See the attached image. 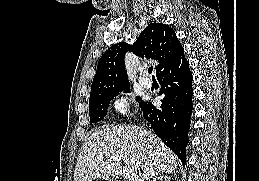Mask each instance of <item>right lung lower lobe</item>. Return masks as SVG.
<instances>
[{"mask_svg": "<svg viewBox=\"0 0 259 181\" xmlns=\"http://www.w3.org/2000/svg\"><path fill=\"white\" fill-rule=\"evenodd\" d=\"M156 76L161 84L159 95L164 94V98L160 107L145 102L141 107L143 117L150 123L155 134L185 164L193 108V77L184 51L173 58Z\"/></svg>", "mask_w": 259, "mask_h": 181, "instance_id": "1", "label": "right lung lower lobe"}]
</instances>
